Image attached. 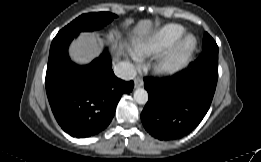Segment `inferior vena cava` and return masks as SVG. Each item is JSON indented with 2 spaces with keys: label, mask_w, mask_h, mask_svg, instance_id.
<instances>
[{
  "label": "inferior vena cava",
  "mask_w": 261,
  "mask_h": 162,
  "mask_svg": "<svg viewBox=\"0 0 261 162\" xmlns=\"http://www.w3.org/2000/svg\"><path fill=\"white\" fill-rule=\"evenodd\" d=\"M113 71L118 78L126 81L134 79L137 75L136 69L129 62H120L114 65Z\"/></svg>",
  "instance_id": "1"
}]
</instances>
